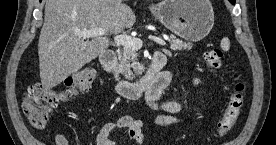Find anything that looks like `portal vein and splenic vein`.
Instances as JSON below:
<instances>
[{
	"mask_svg": "<svg viewBox=\"0 0 276 145\" xmlns=\"http://www.w3.org/2000/svg\"><path fill=\"white\" fill-rule=\"evenodd\" d=\"M106 34V30L103 28H92L89 30H83V31H76V35L84 38H90V37H97V36H103ZM149 39L153 40L155 43L165 46L166 42L156 36H149ZM114 41L118 45H122L124 47L133 48V49H140L142 47V41L137 37H132L129 35H116L114 37Z\"/></svg>",
	"mask_w": 276,
	"mask_h": 145,
	"instance_id": "obj_1",
	"label": "portal vein and splenic vein"
}]
</instances>
